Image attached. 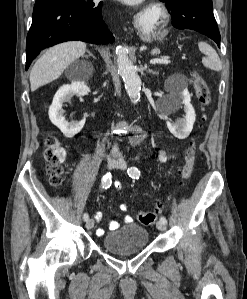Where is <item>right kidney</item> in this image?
I'll list each match as a JSON object with an SVG mask.
<instances>
[{"label": "right kidney", "instance_id": "1", "mask_svg": "<svg viewBox=\"0 0 247 299\" xmlns=\"http://www.w3.org/2000/svg\"><path fill=\"white\" fill-rule=\"evenodd\" d=\"M89 92V87L84 82L80 81L72 82L69 85H63L56 92L52 104L49 107V119L61 130L65 137L72 138L78 134L82 130L86 119L84 118L79 122L66 121L63 116V103L68 101L74 95H86Z\"/></svg>", "mask_w": 247, "mask_h": 299}]
</instances>
